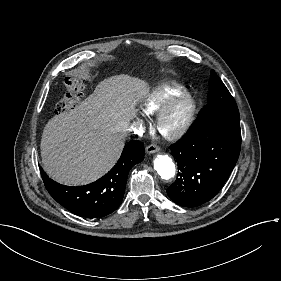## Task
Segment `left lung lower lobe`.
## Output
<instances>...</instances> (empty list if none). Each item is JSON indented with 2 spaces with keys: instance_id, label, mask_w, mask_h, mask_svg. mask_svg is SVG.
<instances>
[{
  "instance_id": "0a47b994",
  "label": "left lung lower lobe",
  "mask_w": 281,
  "mask_h": 281,
  "mask_svg": "<svg viewBox=\"0 0 281 281\" xmlns=\"http://www.w3.org/2000/svg\"><path fill=\"white\" fill-rule=\"evenodd\" d=\"M240 147L239 119L197 120L170 148L179 171L167 188L169 198L183 207H197L212 199L232 172Z\"/></svg>"
}]
</instances>
